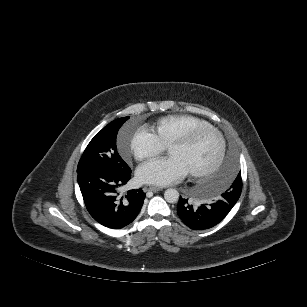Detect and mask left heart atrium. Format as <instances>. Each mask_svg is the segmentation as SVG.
Instances as JSON below:
<instances>
[{
  "mask_svg": "<svg viewBox=\"0 0 307 307\" xmlns=\"http://www.w3.org/2000/svg\"><path fill=\"white\" fill-rule=\"evenodd\" d=\"M189 170L175 156L160 157L141 164L136 172L140 183L165 186L180 181Z\"/></svg>",
  "mask_w": 307,
  "mask_h": 307,
  "instance_id": "obj_1",
  "label": "left heart atrium"
}]
</instances>
